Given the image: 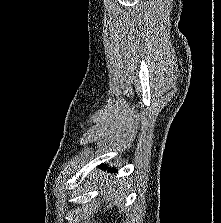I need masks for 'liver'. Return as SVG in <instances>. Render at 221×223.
<instances>
[{
    "instance_id": "liver-1",
    "label": "liver",
    "mask_w": 221,
    "mask_h": 223,
    "mask_svg": "<svg viewBox=\"0 0 221 223\" xmlns=\"http://www.w3.org/2000/svg\"><path fill=\"white\" fill-rule=\"evenodd\" d=\"M108 178L100 176L99 178V184H104L106 183V187L103 190L104 195L108 199H116V198H122L125 195V185L123 180H117L114 183H107Z\"/></svg>"
}]
</instances>
